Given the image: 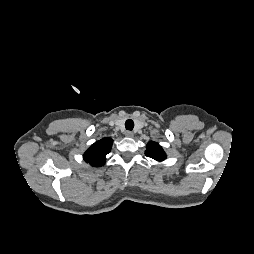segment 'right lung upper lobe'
Here are the masks:
<instances>
[{
	"label": "right lung upper lobe",
	"mask_w": 254,
	"mask_h": 254,
	"mask_svg": "<svg viewBox=\"0 0 254 254\" xmlns=\"http://www.w3.org/2000/svg\"><path fill=\"white\" fill-rule=\"evenodd\" d=\"M113 140L103 138L93 145L84 153V160L91 166L100 167L105 164V157L111 151Z\"/></svg>",
	"instance_id": "obj_1"
}]
</instances>
